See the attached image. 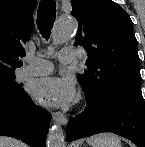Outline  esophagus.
Here are the masks:
<instances>
[{
  "label": "esophagus",
  "instance_id": "esophagus-1",
  "mask_svg": "<svg viewBox=\"0 0 145 147\" xmlns=\"http://www.w3.org/2000/svg\"><path fill=\"white\" fill-rule=\"evenodd\" d=\"M52 119L55 122L60 123L61 125H66L67 124V117L65 114L59 112V111H54L52 112Z\"/></svg>",
  "mask_w": 145,
  "mask_h": 147
}]
</instances>
